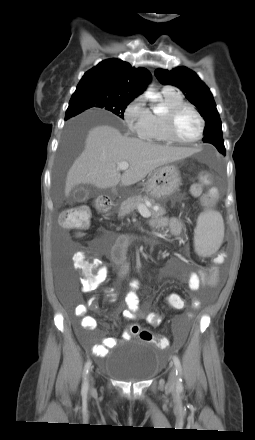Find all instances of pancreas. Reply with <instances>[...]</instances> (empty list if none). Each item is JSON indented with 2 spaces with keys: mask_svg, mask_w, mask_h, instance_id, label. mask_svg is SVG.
Masks as SVG:
<instances>
[{
  "mask_svg": "<svg viewBox=\"0 0 255 440\" xmlns=\"http://www.w3.org/2000/svg\"><path fill=\"white\" fill-rule=\"evenodd\" d=\"M148 201L151 203H154L153 200L150 199L148 196L138 195V196L128 198L127 200L123 201L120 206L119 213H118L119 217H124V216L130 214L134 210L138 209L139 205L146 206V202H148ZM156 206L158 208L157 210L150 209L147 206L146 207L150 209V213L153 218L163 217L166 214L165 209L162 208L159 204H156Z\"/></svg>",
  "mask_w": 255,
  "mask_h": 440,
  "instance_id": "pancreas-1",
  "label": "pancreas"
}]
</instances>
